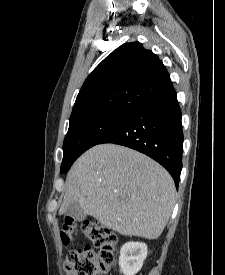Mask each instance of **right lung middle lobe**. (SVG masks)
<instances>
[{
  "instance_id": "right-lung-middle-lobe-1",
  "label": "right lung middle lobe",
  "mask_w": 225,
  "mask_h": 275,
  "mask_svg": "<svg viewBox=\"0 0 225 275\" xmlns=\"http://www.w3.org/2000/svg\"><path fill=\"white\" fill-rule=\"evenodd\" d=\"M128 114L125 111L102 112L70 122L63 144L61 172L68 171L83 152L98 144Z\"/></svg>"
}]
</instances>
